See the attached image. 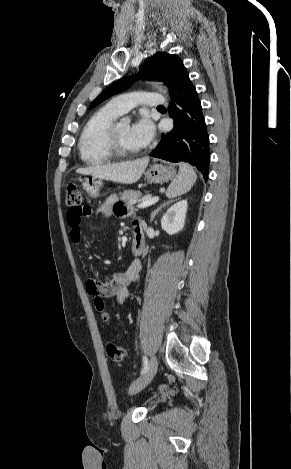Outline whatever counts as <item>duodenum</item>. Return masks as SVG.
<instances>
[{"instance_id":"obj_1","label":"duodenum","mask_w":291,"mask_h":469,"mask_svg":"<svg viewBox=\"0 0 291 469\" xmlns=\"http://www.w3.org/2000/svg\"><path fill=\"white\" fill-rule=\"evenodd\" d=\"M145 247V235L142 226H134V235L132 239L131 249L135 256L143 253Z\"/></svg>"}]
</instances>
